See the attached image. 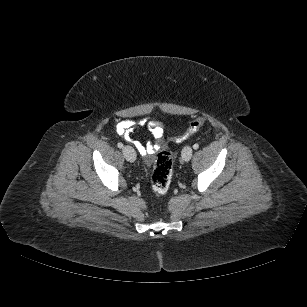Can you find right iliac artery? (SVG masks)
Returning <instances> with one entry per match:
<instances>
[{"label":"right iliac artery","instance_id":"obj_1","mask_svg":"<svg viewBox=\"0 0 307 307\" xmlns=\"http://www.w3.org/2000/svg\"><path fill=\"white\" fill-rule=\"evenodd\" d=\"M117 146H118V148H123V144L121 143V142H119L118 144H117Z\"/></svg>","mask_w":307,"mask_h":307}]
</instances>
